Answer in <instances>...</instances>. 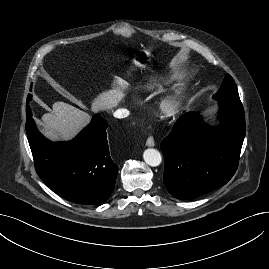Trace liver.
<instances>
[{
    "label": "liver",
    "instance_id": "obj_1",
    "mask_svg": "<svg viewBox=\"0 0 269 269\" xmlns=\"http://www.w3.org/2000/svg\"><path fill=\"white\" fill-rule=\"evenodd\" d=\"M113 88L100 93L91 104L93 112L112 110L125 97L129 84L117 78ZM90 115L65 102H55L52 111L42 116L41 132L51 140L69 141L90 122Z\"/></svg>",
    "mask_w": 269,
    "mask_h": 269
}]
</instances>
